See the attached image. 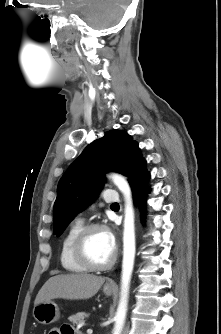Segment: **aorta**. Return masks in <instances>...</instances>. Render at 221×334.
Masks as SVG:
<instances>
[{
	"instance_id": "aorta-1",
	"label": "aorta",
	"mask_w": 221,
	"mask_h": 334,
	"mask_svg": "<svg viewBox=\"0 0 221 334\" xmlns=\"http://www.w3.org/2000/svg\"><path fill=\"white\" fill-rule=\"evenodd\" d=\"M111 178L114 184L123 193L125 199L121 292L120 302L114 318L115 325L113 329V334H121L127 312L130 280L135 258L134 209L132 193L128 182L122 176L117 174H113Z\"/></svg>"
}]
</instances>
